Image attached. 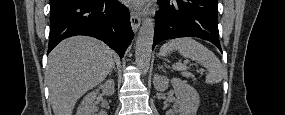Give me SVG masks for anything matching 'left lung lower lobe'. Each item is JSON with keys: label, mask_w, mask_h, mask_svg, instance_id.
<instances>
[{"label": "left lung lower lobe", "mask_w": 285, "mask_h": 115, "mask_svg": "<svg viewBox=\"0 0 285 115\" xmlns=\"http://www.w3.org/2000/svg\"><path fill=\"white\" fill-rule=\"evenodd\" d=\"M153 48L161 41L179 37H199L220 50L217 0H158Z\"/></svg>", "instance_id": "left-lung-lower-lobe-1"}]
</instances>
